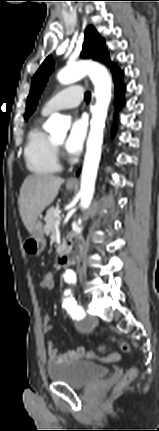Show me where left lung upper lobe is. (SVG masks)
Returning <instances> with one entry per match:
<instances>
[{
	"mask_svg": "<svg viewBox=\"0 0 159 431\" xmlns=\"http://www.w3.org/2000/svg\"><path fill=\"white\" fill-rule=\"evenodd\" d=\"M104 40L101 39L96 30L89 26L85 32V41L81 52L82 58H93L94 60L102 61L109 67L112 72L118 70L116 64H113L109 59V54L106 51ZM54 68V61L51 56H48L36 74L31 83L30 94L27 99V108L25 118L27 119L35 110L40 94L47 82L48 76Z\"/></svg>",
	"mask_w": 159,
	"mask_h": 431,
	"instance_id": "left-lung-upper-lobe-1",
	"label": "left lung upper lobe"
}]
</instances>
